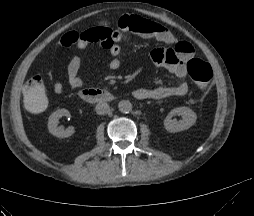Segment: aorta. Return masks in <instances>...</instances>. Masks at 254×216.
<instances>
[{
	"label": "aorta",
	"instance_id": "762f6f07",
	"mask_svg": "<svg viewBox=\"0 0 254 216\" xmlns=\"http://www.w3.org/2000/svg\"><path fill=\"white\" fill-rule=\"evenodd\" d=\"M119 111L129 113L132 110V103L129 100H122L118 103Z\"/></svg>",
	"mask_w": 254,
	"mask_h": 216
}]
</instances>
